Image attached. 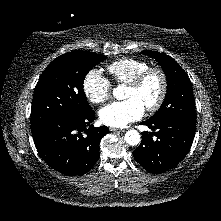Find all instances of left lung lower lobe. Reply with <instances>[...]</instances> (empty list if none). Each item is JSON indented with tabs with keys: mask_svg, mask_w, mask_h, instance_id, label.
<instances>
[{
	"mask_svg": "<svg viewBox=\"0 0 221 221\" xmlns=\"http://www.w3.org/2000/svg\"><path fill=\"white\" fill-rule=\"evenodd\" d=\"M142 125L157 132H144L133 156L145 170L155 174L174 168L186 156L196 130V123L178 118L148 119Z\"/></svg>",
	"mask_w": 221,
	"mask_h": 221,
	"instance_id": "0a47b994",
	"label": "left lung lower lobe"
}]
</instances>
